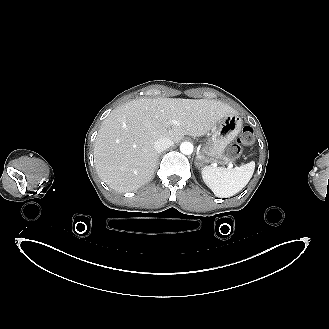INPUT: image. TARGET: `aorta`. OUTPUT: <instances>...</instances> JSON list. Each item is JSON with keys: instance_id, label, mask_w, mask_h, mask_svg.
<instances>
[{"instance_id": "1", "label": "aorta", "mask_w": 329, "mask_h": 329, "mask_svg": "<svg viewBox=\"0 0 329 329\" xmlns=\"http://www.w3.org/2000/svg\"><path fill=\"white\" fill-rule=\"evenodd\" d=\"M193 149H194V146H193V144L190 143V142H183V143H181V145H180V151H181V153H183V154H185V155H190V154H192Z\"/></svg>"}]
</instances>
